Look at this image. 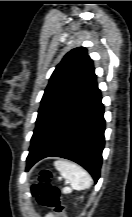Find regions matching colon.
I'll use <instances>...</instances> for the list:
<instances>
[{
    "label": "colon",
    "instance_id": "obj_1",
    "mask_svg": "<svg viewBox=\"0 0 132 217\" xmlns=\"http://www.w3.org/2000/svg\"><path fill=\"white\" fill-rule=\"evenodd\" d=\"M51 178L50 170H41L32 186V193L41 206L54 210L59 217H64L65 206L60 197V190L51 184Z\"/></svg>",
    "mask_w": 132,
    "mask_h": 217
}]
</instances>
